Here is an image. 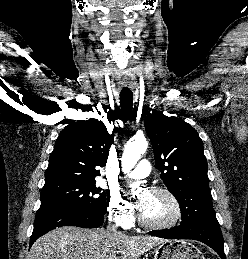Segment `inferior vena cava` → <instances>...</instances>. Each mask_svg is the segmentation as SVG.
Instances as JSON below:
<instances>
[{
	"label": "inferior vena cava",
	"instance_id": "inferior-vena-cava-1",
	"mask_svg": "<svg viewBox=\"0 0 248 259\" xmlns=\"http://www.w3.org/2000/svg\"><path fill=\"white\" fill-rule=\"evenodd\" d=\"M108 230L113 231L116 234H121V232L117 231V227L115 225H110V223H109V226H108Z\"/></svg>",
	"mask_w": 248,
	"mask_h": 259
}]
</instances>
